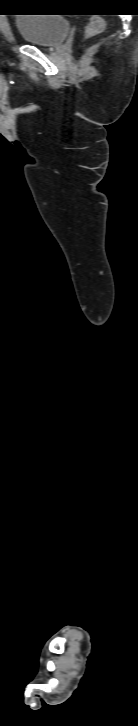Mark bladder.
Segmentation results:
<instances>
[{"mask_svg":"<svg viewBox=\"0 0 138 726\" xmlns=\"http://www.w3.org/2000/svg\"><path fill=\"white\" fill-rule=\"evenodd\" d=\"M15 26L27 43L40 47L61 43L70 28L68 19L60 14H23Z\"/></svg>","mask_w":138,"mask_h":726,"instance_id":"obj_1","label":"bladder"}]
</instances>
